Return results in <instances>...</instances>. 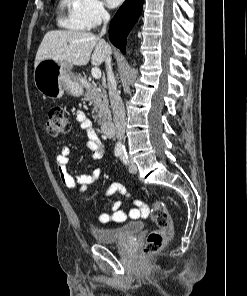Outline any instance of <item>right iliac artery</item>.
<instances>
[{
  "label": "right iliac artery",
  "mask_w": 247,
  "mask_h": 296,
  "mask_svg": "<svg viewBox=\"0 0 247 296\" xmlns=\"http://www.w3.org/2000/svg\"><path fill=\"white\" fill-rule=\"evenodd\" d=\"M122 154V152H116L115 155L116 156H120Z\"/></svg>",
  "instance_id": "1"
}]
</instances>
